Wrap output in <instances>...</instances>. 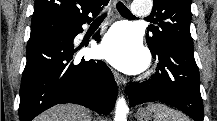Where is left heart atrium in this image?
<instances>
[{
    "label": "left heart atrium",
    "mask_w": 217,
    "mask_h": 121,
    "mask_svg": "<svg viewBox=\"0 0 217 121\" xmlns=\"http://www.w3.org/2000/svg\"><path fill=\"white\" fill-rule=\"evenodd\" d=\"M100 51L105 59L124 71L138 72L147 64L140 38L125 25L115 26L106 34Z\"/></svg>",
    "instance_id": "39dd6f15"
}]
</instances>
